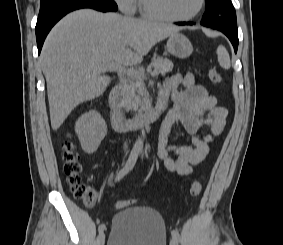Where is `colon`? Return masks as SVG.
<instances>
[{"label":"colon","mask_w":283,"mask_h":245,"mask_svg":"<svg viewBox=\"0 0 283 245\" xmlns=\"http://www.w3.org/2000/svg\"><path fill=\"white\" fill-rule=\"evenodd\" d=\"M208 76L210 81L214 84L222 82V75L216 69H210ZM63 162L64 172L67 175L73 196L82 201L86 206H93L95 203V192L90 186L86 185L81 178L82 165L80 158L70 141H66L63 144ZM201 191V182L199 180H193L189 188L190 194L196 197L200 195ZM132 204L131 201H117L114 203V206L121 208Z\"/></svg>","instance_id":"5ec220e1"}]
</instances>
